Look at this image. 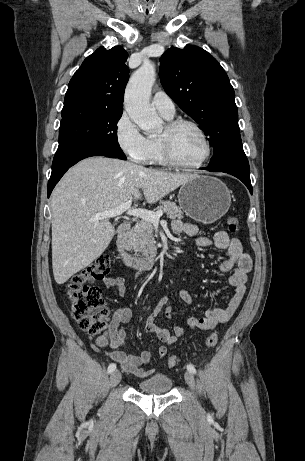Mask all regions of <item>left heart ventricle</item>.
Returning <instances> with one entry per match:
<instances>
[{
  "instance_id": "left-heart-ventricle-1",
  "label": "left heart ventricle",
  "mask_w": 305,
  "mask_h": 461,
  "mask_svg": "<svg viewBox=\"0 0 305 461\" xmlns=\"http://www.w3.org/2000/svg\"><path fill=\"white\" fill-rule=\"evenodd\" d=\"M164 133L165 130L162 135ZM173 149L178 159L187 164L200 161L205 154V145L201 136L190 126H183L175 133Z\"/></svg>"
}]
</instances>
